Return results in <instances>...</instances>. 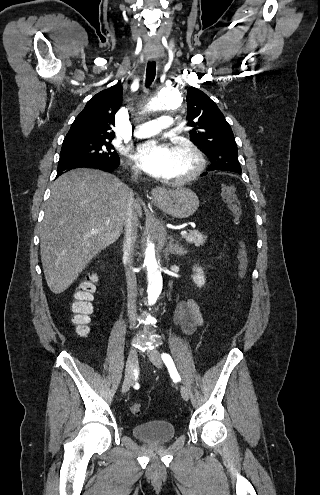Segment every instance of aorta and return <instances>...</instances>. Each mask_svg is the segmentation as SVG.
Masks as SVG:
<instances>
[{
	"mask_svg": "<svg viewBox=\"0 0 320 495\" xmlns=\"http://www.w3.org/2000/svg\"><path fill=\"white\" fill-rule=\"evenodd\" d=\"M181 103L182 99L179 92L175 89L167 88L148 102L145 111L172 110L178 108ZM165 242V228L161 222L156 221L148 229L142 257V265L147 270L149 304H154L162 291L163 280L159 267V257Z\"/></svg>",
	"mask_w": 320,
	"mask_h": 495,
	"instance_id": "obj_1",
	"label": "aorta"
}]
</instances>
